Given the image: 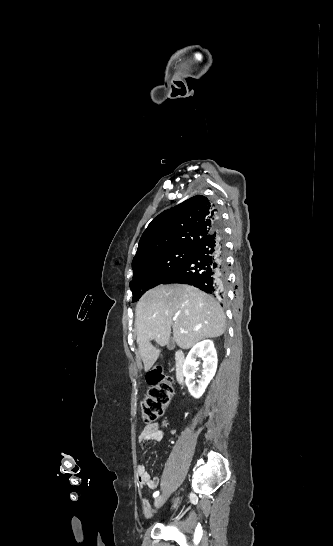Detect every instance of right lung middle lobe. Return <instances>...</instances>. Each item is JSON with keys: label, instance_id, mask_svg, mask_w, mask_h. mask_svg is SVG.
<instances>
[{"label": "right lung middle lobe", "instance_id": "1", "mask_svg": "<svg viewBox=\"0 0 333 546\" xmlns=\"http://www.w3.org/2000/svg\"><path fill=\"white\" fill-rule=\"evenodd\" d=\"M193 247H178L163 251L133 268L130 287L133 301H137L148 289L160 284L178 265L192 253Z\"/></svg>", "mask_w": 333, "mask_h": 546}]
</instances>
